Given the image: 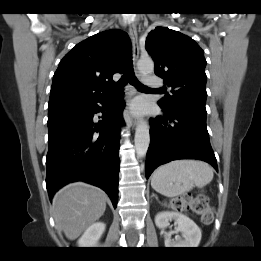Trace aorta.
I'll list each match as a JSON object with an SVG mask.
<instances>
[{
    "label": "aorta",
    "instance_id": "762f6f07",
    "mask_svg": "<svg viewBox=\"0 0 261 261\" xmlns=\"http://www.w3.org/2000/svg\"><path fill=\"white\" fill-rule=\"evenodd\" d=\"M137 67L140 74L142 76H146L153 72L154 63L149 57L140 58L137 63ZM134 142L137 157H144L150 144L149 126L145 121H140L138 123L135 131Z\"/></svg>",
    "mask_w": 261,
    "mask_h": 261
}]
</instances>
